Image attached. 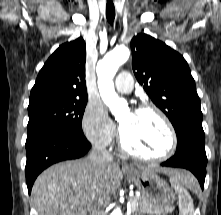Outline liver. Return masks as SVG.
Returning a JSON list of instances; mask_svg holds the SVG:
<instances>
[{"mask_svg":"<svg viewBox=\"0 0 221 215\" xmlns=\"http://www.w3.org/2000/svg\"><path fill=\"white\" fill-rule=\"evenodd\" d=\"M142 171H153L138 166ZM177 180H186L180 170L156 169ZM119 164L106 162L100 171L89 158L55 164L42 172L32 187V198L38 215H87L94 199L101 195L106 202L119 187Z\"/></svg>","mask_w":221,"mask_h":215,"instance_id":"1","label":"liver"}]
</instances>
